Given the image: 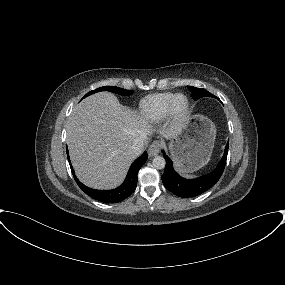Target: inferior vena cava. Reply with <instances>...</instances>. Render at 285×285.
Segmentation results:
<instances>
[{"mask_svg":"<svg viewBox=\"0 0 285 285\" xmlns=\"http://www.w3.org/2000/svg\"><path fill=\"white\" fill-rule=\"evenodd\" d=\"M146 142H147V135L143 134L142 136L134 139L132 145L130 146V149L132 150L133 153L139 155L143 151Z\"/></svg>","mask_w":285,"mask_h":285,"instance_id":"602c4592","label":"inferior vena cava"}]
</instances>
